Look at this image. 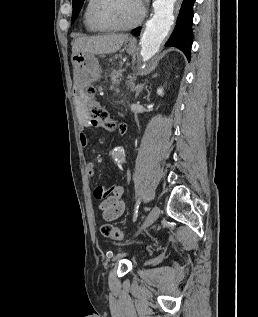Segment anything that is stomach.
Returning <instances> with one entry per match:
<instances>
[{
	"label": "stomach",
	"mask_w": 258,
	"mask_h": 317,
	"mask_svg": "<svg viewBox=\"0 0 258 317\" xmlns=\"http://www.w3.org/2000/svg\"><path fill=\"white\" fill-rule=\"evenodd\" d=\"M124 48L128 54H134L136 50V42L134 38H128L124 44ZM76 72H87V74H98L99 62L91 52H76L71 58Z\"/></svg>",
	"instance_id": "1"
}]
</instances>
